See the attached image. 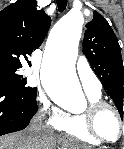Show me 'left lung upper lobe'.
Instances as JSON below:
<instances>
[{"label": "left lung upper lobe", "instance_id": "1", "mask_svg": "<svg viewBox=\"0 0 124 149\" xmlns=\"http://www.w3.org/2000/svg\"><path fill=\"white\" fill-rule=\"evenodd\" d=\"M86 28L83 52L123 118L124 66L117 37L106 19L96 11Z\"/></svg>", "mask_w": 124, "mask_h": 149}]
</instances>
